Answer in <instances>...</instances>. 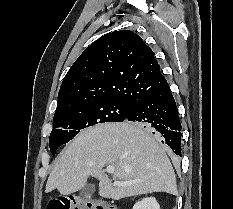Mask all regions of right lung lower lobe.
<instances>
[{
  "instance_id": "right-lung-lower-lobe-1",
  "label": "right lung lower lobe",
  "mask_w": 233,
  "mask_h": 209,
  "mask_svg": "<svg viewBox=\"0 0 233 209\" xmlns=\"http://www.w3.org/2000/svg\"><path fill=\"white\" fill-rule=\"evenodd\" d=\"M126 121L140 122L162 137L173 152L181 156V123L168 84L156 93L137 101Z\"/></svg>"
}]
</instances>
